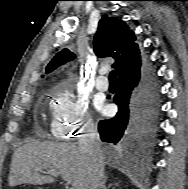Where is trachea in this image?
I'll return each mask as SVG.
<instances>
[{"label": "trachea", "mask_w": 188, "mask_h": 189, "mask_svg": "<svg viewBox=\"0 0 188 189\" xmlns=\"http://www.w3.org/2000/svg\"><path fill=\"white\" fill-rule=\"evenodd\" d=\"M109 81L111 83H116L117 82V76H116V72L114 70H112L109 74Z\"/></svg>", "instance_id": "3493384b"}]
</instances>
